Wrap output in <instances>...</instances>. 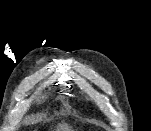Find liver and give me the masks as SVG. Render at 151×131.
Segmentation results:
<instances>
[{"label": "liver", "instance_id": "obj_1", "mask_svg": "<svg viewBox=\"0 0 151 131\" xmlns=\"http://www.w3.org/2000/svg\"><path fill=\"white\" fill-rule=\"evenodd\" d=\"M58 129L63 130V131H70L71 128H69L67 125H62Z\"/></svg>", "mask_w": 151, "mask_h": 131}]
</instances>
